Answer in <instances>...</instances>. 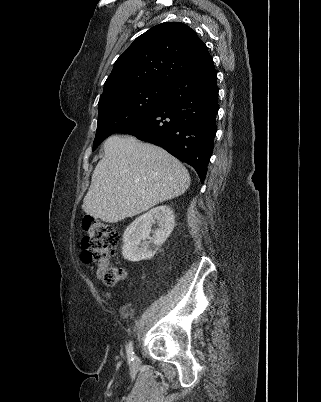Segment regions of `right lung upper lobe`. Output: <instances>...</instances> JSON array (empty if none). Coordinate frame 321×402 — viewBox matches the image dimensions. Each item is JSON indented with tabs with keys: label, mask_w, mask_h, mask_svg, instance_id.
Wrapping results in <instances>:
<instances>
[{
	"label": "right lung upper lobe",
	"mask_w": 321,
	"mask_h": 402,
	"mask_svg": "<svg viewBox=\"0 0 321 402\" xmlns=\"http://www.w3.org/2000/svg\"><path fill=\"white\" fill-rule=\"evenodd\" d=\"M212 63L194 30L180 22L161 23L139 36L116 60L99 101L119 91L168 86Z\"/></svg>",
	"instance_id": "right-lung-upper-lobe-1"
}]
</instances>
